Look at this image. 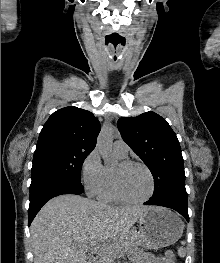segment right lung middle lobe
Returning <instances> with one entry per match:
<instances>
[{
    "mask_svg": "<svg viewBox=\"0 0 220 263\" xmlns=\"http://www.w3.org/2000/svg\"><path fill=\"white\" fill-rule=\"evenodd\" d=\"M92 151L54 148L34 153L32 179L39 176H56L81 182V168Z\"/></svg>",
    "mask_w": 220,
    "mask_h": 263,
    "instance_id": "obj_1",
    "label": "right lung middle lobe"
}]
</instances>
